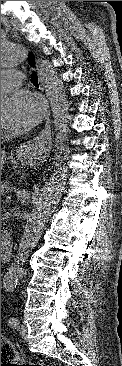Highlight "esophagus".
Segmentation results:
<instances>
[{
  "instance_id": "esophagus-1",
  "label": "esophagus",
  "mask_w": 122,
  "mask_h": 366,
  "mask_svg": "<svg viewBox=\"0 0 122 366\" xmlns=\"http://www.w3.org/2000/svg\"><path fill=\"white\" fill-rule=\"evenodd\" d=\"M27 61L34 69L37 70L40 86L44 89L43 77L41 76L40 72L38 71L36 56L34 55L33 52L28 51ZM45 120H46V126L39 134L38 141H35V144L28 145L27 147H25L23 149L24 154L28 155L30 152H36L38 149L46 148L47 145L50 144L51 130H50V110L49 109L46 112Z\"/></svg>"
}]
</instances>
